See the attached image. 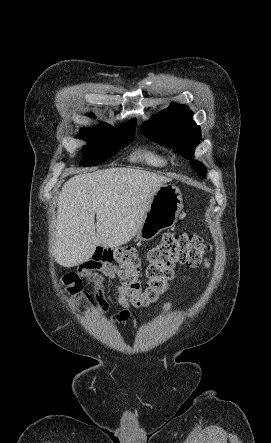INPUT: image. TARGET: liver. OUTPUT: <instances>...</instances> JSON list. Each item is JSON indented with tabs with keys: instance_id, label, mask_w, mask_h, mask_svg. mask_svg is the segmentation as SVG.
<instances>
[{
	"instance_id": "1",
	"label": "liver",
	"mask_w": 271,
	"mask_h": 443,
	"mask_svg": "<svg viewBox=\"0 0 271 443\" xmlns=\"http://www.w3.org/2000/svg\"><path fill=\"white\" fill-rule=\"evenodd\" d=\"M167 182L169 178L132 168H107L70 178L57 204L55 261L66 267L79 265L92 257L97 245L118 247L130 241L153 194Z\"/></svg>"
}]
</instances>
